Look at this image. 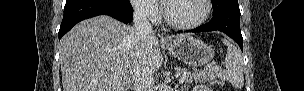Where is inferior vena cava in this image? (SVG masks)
Wrapping results in <instances>:
<instances>
[{"label":"inferior vena cava","instance_id":"602c4592","mask_svg":"<svg viewBox=\"0 0 304 91\" xmlns=\"http://www.w3.org/2000/svg\"><path fill=\"white\" fill-rule=\"evenodd\" d=\"M134 30L139 46L150 35H153V27L149 22V10L145 6H134L133 14ZM134 91H152L154 86L153 70L145 65L139 64L133 76Z\"/></svg>","mask_w":304,"mask_h":91}]
</instances>
